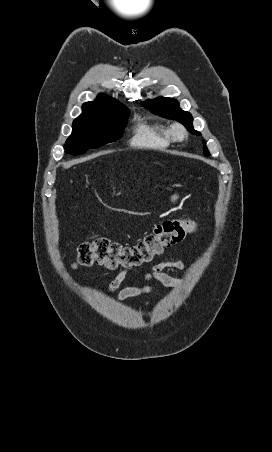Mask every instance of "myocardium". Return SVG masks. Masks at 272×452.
Instances as JSON below:
<instances>
[{
  "instance_id": "f54148a6",
  "label": "myocardium",
  "mask_w": 272,
  "mask_h": 452,
  "mask_svg": "<svg viewBox=\"0 0 272 452\" xmlns=\"http://www.w3.org/2000/svg\"><path fill=\"white\" fill-rule=\"evenodd\" d=\"M171 134L176 140H183L187 135L185 128L180 124H175L172 126Z\"/></svg>"
}]
</instances>
